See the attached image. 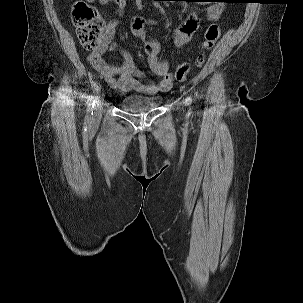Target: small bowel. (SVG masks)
<instances>
[{"label": "small bowel", "instance_id": "1", "mask_svg": "<svg viewBox=\"0 0 303 303\" xmlns=\"http://www.w3.org/2000/svg\"><path fill=\"white\" fill-rule=\"evenodd\" d=\"M89 1L97 2L101 6L113 4L118 15L122 14L127 2V0ZM213 2L217 3L211 4L206 13L207 19L212 21L217 20L225 9L223 3H218L222 1L218 0ZM140 6L141 5L138 4V7ZM118 24V20H112L109 22L106 38L98 47L88 54V62L90 66L103 77L108 85L122 93L137 91L145 94H154L159 91L169 90L173 84V76L169 71L168 62L160 58V44L154 39H147L145 35V25H153L154 22L146 21L141 16H134L131 19L130 29L135 36L143 41L148 66L154 75L161 78L158 83L145 79L144 74L135 66L131 54L125 49L117 47L111 43V36L115 32ZM198 27L199 23L197 15L190 14L175 31V46L180 48L188 44L198 30ZM109 49L116 50L121 54L123 58L122 65L112 66L104 61L103 54ZM139 79H145L144 83H141Z\"/></svg>", "mask_w": 303, "mask_h": 303}]
</instances>
